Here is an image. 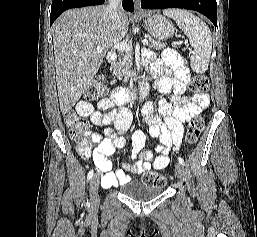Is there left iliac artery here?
<instances>
[{
	"label": "left iliac artery",
	"mask_w": 257,
	"mask_h": 237,
	"mask_svg": "<svg viewBox=\"0 0 257 237\" xmlns=\"http://www.w3.org/2000/svg\"><path fill=\"white\" fill-rule=\"evenodd\" d=\"M179 163H181L183 166H185L184 159L182 157H178Z\"/></svg>",
	"instance_id": "1"
}]
</instances>
